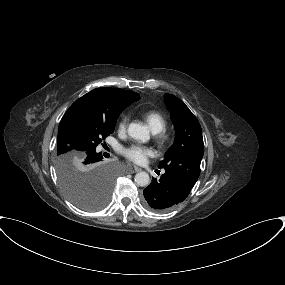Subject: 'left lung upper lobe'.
<instances>
[{"instance_id": "left-lung-upper-lobe-1", "label": "left lung upper lobe", "mask_w": 285, "mask_h": 285, "mask_svg": "<svg viewBox=\"0 0 285 285\" xmlns=\"http://www.w3.org/2000/svg\"><path fill=\"white\" fill-rule=\"evenodd\" d=\"M164 98L171 112L176 136L174 144L167 150L158 167L178 173L196 183L204 153L201 126L182 100L168 93Z\"/></svg>"}]
</instances>
